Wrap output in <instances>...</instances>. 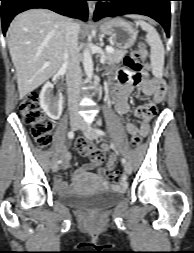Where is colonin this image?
I'll return each instance as SVG.
<instances>
[{
	"instance_id": "colon-1",
	"label": "colon",
	"mask_w": 194,
	"mask_h": 253,
	"mask_svg": "<svg viewBox=\"0 0 194 253\" xmlns=\"http://www.w3.org/2000/svg\"><path fill=\"white\" fill-rule=\"evenodd\" d=\"M147 56V49L144 44H141L137 50L132 52L124 60L126 69L130 70L135 74H141L144 68V60ZM144 58V59H143ZM154 107H146L141 109L139 112L144 113H155ZM20 111L25 124L30 129L32 136L41 148H46L51 140V133L53 129L52 122L44 115L40 104L39 95L36 92L27 94L21 101ZM141 137L138 134L131 136V144L136 147L140 144ZM77 149L79 153L83 155H90L91 162L94 166H100L104 161V154L102 151L96 149L93 144L89 141L80 140L77 143ZM109 180L113 183H120L123 180V175L119 170L112 171L109 174Z\"/></svg>"
}]
</instances>
